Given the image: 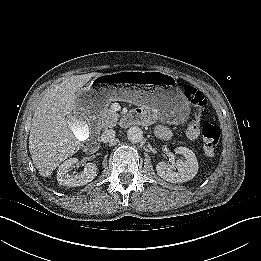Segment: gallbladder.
Segmentation results:
<instances>
[{"instance_id":"1","label":"gallbladder","mask_w":261,"mask_h":261,"mask_svg":"<svg viewBox=\"0 0 261 261\" xmlns=\"http://www.w3.org/2000/svg\"><path fill=\"white\" fill-rule=\"evenodd\" d=\"M67 122L70 125L71 129L74 131V136L77 140L85 141L89 138L90 130L85 122L76 119L73 116L68 117Z\"/></svg>"}]
</instances>
